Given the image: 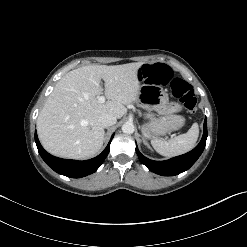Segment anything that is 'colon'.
<instances>
[{
  "mask_svg": "<svg viewBox=\"0 0 247 247\" xmlns=\"http://www.w3.org/2000/svg\"><path fill=\"white\" fill-rule=\"evenodd\" d=\"M139 78L147 83L169 85L171 94L177 98L189 113L197 108V99L190 84L173 76L172 69L161 63L145 64L138 72Z\"/></svg>",
  "mask_w": 247,
  "mask_h": 247,
  "instance_id": "colon-1",
  "label": "colon"
}]
</instances>
